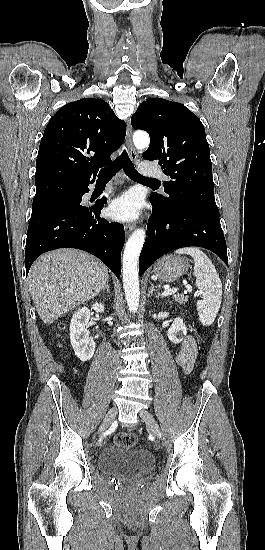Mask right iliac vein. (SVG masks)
<instances>
[{"label": "right iliac vein", "instance_id": "obj_1", "mask_svg": "<svg viewBox=\"0 0 265 550\" xmlns=\"http://www.w3.org/2000/svg\"><path fill=\"white\" fill-rule=\"evenodd\" d=\"M116 414H117V408L114 407V408H111L108 413L106 414L100 428H99V432H103L104 430H106L111 424L112 422L114 421V418L116 417Z\"/></svg>", "mask_w": 265, "mask_h": 550}]
</instances>
